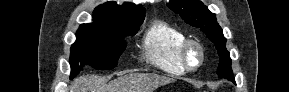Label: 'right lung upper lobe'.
I'll list each match as a JSON object with an SVG mask.
<instances>
[{"instance_id":"1","label":"right lung upper lobe","mask_w":289,"mask_h":92,"mask_svg":"<svg viewBox=\"0 0 289 92\" xmlns=\"http://www.w3.org/2000/svg\"><path fill=\"white\" fill-rule=\"evenodd\" d=\"M93 18L92 23L82 24L80 27L119 30L142 24L145 18V9L130 3L119 6L110 1L95 8Z\"/></svg>"}]
</instances>
